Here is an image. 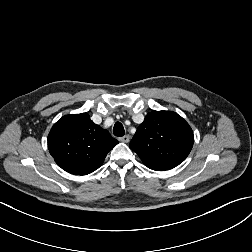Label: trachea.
<instances>
[{
    "label": "trachea",
    "instance_id": "obj_1",
    "mask_svg": "<svg viewBox=\"0 0 252 252\" xmlns=\"http://www.w3.org/2000/svg\"><path fill=\"white\" fill-rule=\"evenodd\" d=\"M113 134L117 137H122L125 134L123 125L120 122H116L113 127Z\"/></svg>",
    "mask_w": 252,
    "mask_h": 252
}]
</instances>
